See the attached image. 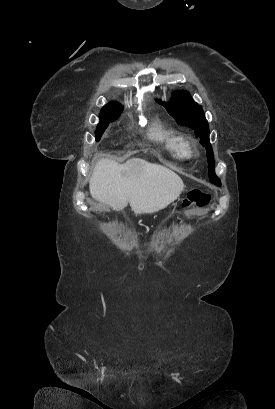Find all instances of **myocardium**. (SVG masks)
<instances>
[{"label":"myocardium","mask_w":275,"mask_h":409,"mask_svg":"<svg viewBox=\"0 0 275 409\" xmlns=\"http://www.w3.org/2000/svg\"><path fill=\"white\" fill-rule=\"evenodd\" d=\"M194 152V147L191 143L187 142L183 148V155L191 156Z\"/></svg>","instance_id":"f54148a6"}]
</instances>
